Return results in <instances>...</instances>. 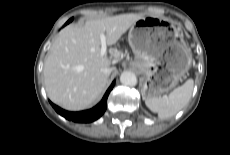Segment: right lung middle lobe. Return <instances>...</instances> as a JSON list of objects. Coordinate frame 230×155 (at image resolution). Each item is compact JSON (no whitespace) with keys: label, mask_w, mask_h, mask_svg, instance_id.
I'll use <instances>...</instances> for the list:
<instances>
[{"label":"right lung middle lobe","mask_w":230,"mask_h":155,"mask_svg":"<svg viewBox=\"0 0 230 155\" xmlns=\"http://www.w3.org/2000/svg\"><path fill=\"white\" fill-rule=\"evenodd\" d=\"M72 20H73V18L69 19V20L67 21V23H70Z\"/></svg>","instance_id":"right-lung-middle-lobe-1"}]
</instances>
